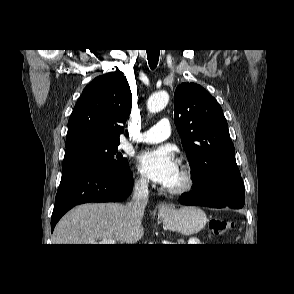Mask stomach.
<instances>
[{
    "label": "stomach",
    "mask_w": 294,
    "mask_h": 294,
    "mask_svg": "<svg viewBox=\"0 0 294 294\" xmlns=\"http://www.w3.org/2000/svg\"><path fill=\"white\" fill-rule=\"evenodd\" d=\"M163 224L172 231H178L183 235H192L201 231L207 222L206 214L197 207H170L160 212Z\"/></svg>",
    "instance_id": "1"
}]
</instances>
